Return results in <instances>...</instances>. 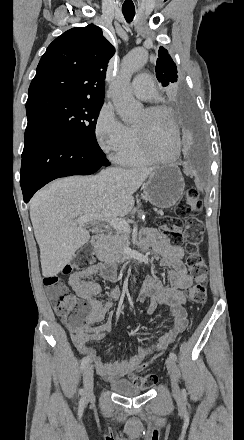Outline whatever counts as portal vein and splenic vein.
Returning a JSON list of instances; mask_svg holds the SVG:
<instances>
[{
    "instance_id": "portal-vein-and-splenic-vein-1",
    "label": "portal vein and splenic vein",
    "mask_w": 244,
    "mask_h": 440,
    "mask_svg": "<svg viewBox=\"0 0 244 440\" xmlns=\"http://www.w3.org/2000/svg\"><path fill=\"white\" fill-rule=\"evenodd\" d=\"M96 220H100V222H107L109 226L115 228V230H124V232H130L131 228L123 218H98L96 214H88V216H78L76 222L79 226H84L86 222H96Z\"/></svg>"
}]
</instances>
